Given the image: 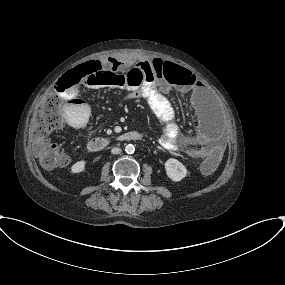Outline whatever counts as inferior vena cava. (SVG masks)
<instances>
[{"label": "inferior vena cava", "mask_w": 285, "mask_h": 285, "mask_svg": "<svg viewBox=\"0 0 285 285\" xmlns=\"http://www.w3.org/2000/svg\"><path fill=\"white\" fill-rule=\"evenodd\" d=\"M111 153H112V154H120V153H121V149L118 148V147H114V148L111 150Z\"/></svg>", "instance_id": "602c4592"}]
</instances>
